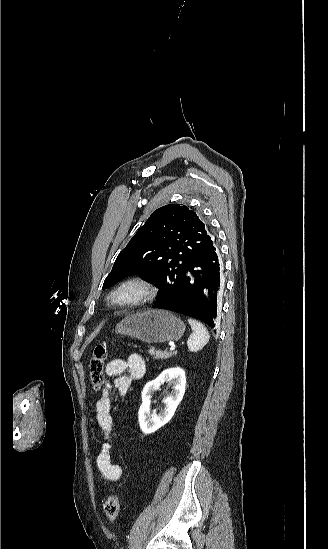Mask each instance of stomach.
<instances>
[{
	"instance_id": "obj_1",
	"label": "stomach",
	"mask_w": 328,
	"mask_h": 549,
	"mask_svg": "<svg viewBox=\"0 0 328 549\" xmlns=\"http://www.w3.org/2000/svg\"><path fill=\"white\" fill-rule=\"evenodd\" d=\"M117 335H128L144 343L179 341L185 333L181 319L164 309H144L128 315L115 327Z\"/></svg>"
}]
</instances>
